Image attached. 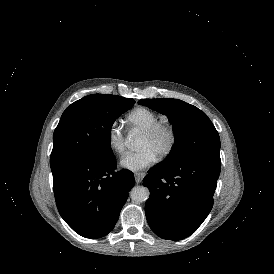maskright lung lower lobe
<instances>
[{"instance_id": "98d812e1", "label": "right lung lower lobe", "mask_w": 274, "mask_h": 274, "mask_svg": "<svg viewBox=\"0 0 274 274\" xmlns=\"http://www.w3.org/2000/svg\"><path fill=\"white\" fill-rule=\"evenodd\" d=\"M116 167L114 156L51 166L59 213L79 235L100 238L114 228L135 183L131 171L115 172Z\"/></svg>"}]
</instances>
